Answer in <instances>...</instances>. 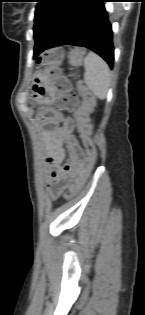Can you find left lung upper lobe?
I'll list each match as a JSON object with an SVG mask.
<instances>
[{"mask_svg":"<svg viewBox=\"0 0 145 315\" xmlns=\"http://www.w3.org/2000/svg\"><path fill=\"white\" fill-rule=\"evenodd\" d=\"M71 2L72 0H38L33 28L35 43L45 37L56 19Z\"/></svg>","mask_w":145,"mask_h":315,"instance_id":"obj_1","label":"left lung upper lobe"}]
</instances>
